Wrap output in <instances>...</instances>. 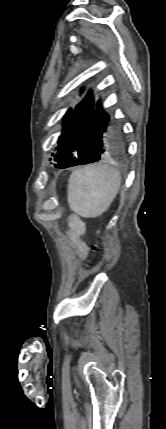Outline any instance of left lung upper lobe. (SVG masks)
<instances>
[{"mask_svg": "<svg viewBox=\"0 0 166 429\" xmlns=\"http://www.w3.org/2000/svg\"><path fill=\"white\" fill-rule=\"evenodd\" d=\"M71 112H72V109L70 108V109L67 111V113L64 115V117H63V129H62V135L59 137L58 143H60V142H61V139H62L63 133H64V131H65V129H66L67 124H68V121H69V118H70ZM56 149H57V148H56ZM53 155H54V154H52V156H53Z\"/></svg>", "mask_w": 166, "mask_h": 429, "instance_id": "1", "label": "left lung upper lobe"}]
</instances>
